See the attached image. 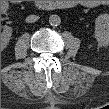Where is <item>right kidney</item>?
Returning <instances> with one entry per match:
<instances>
[{"label":"right kidney","mask_w":109,"mask_h":109,"mask_svg":"<svg viewBox=\"0 0 109 109\" xmlns=\"http://www.w3.org/2000/svg\"><path fill=\"white\" fill-rule=\"evenodd\" d=\"M12 34V28L5 26L3 32L1 33V47L5 48L9 41Z\"/></svg>","instance_id":"ca27d5eb"}]
</instances>
